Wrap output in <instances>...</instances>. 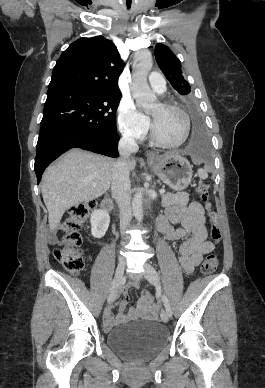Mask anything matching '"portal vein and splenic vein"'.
<instances>
[{
    "mask_svg": "<svg viewBox=\"0 0 265 388\" xmlns=\"http://www.w3.org/2000/svg\"><path fill=\"white\" fill-rule=\"evenodd\" d=\"M94 186H96V184H94ZM160 194H164V192H166V190H159Z\"/></svg>",
    "mask_w": 265,
    "mask_h": 388,
    "instance_id": "1",
    "label": "portal vein and splenic vein"
}]
</instances>
